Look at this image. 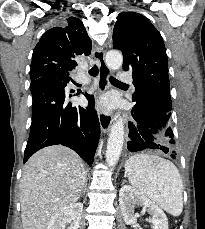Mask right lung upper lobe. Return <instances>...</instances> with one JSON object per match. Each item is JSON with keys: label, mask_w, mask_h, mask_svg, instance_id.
Here are the masks:
<instances>
[{"label": "right lung upper lobe", "mask_w": 205, "mask_h": 229, "mask_svg": "<svg viewBox=\"0 0 205 229\" xmlns=\"http://www.w3.org/2000/svg\"><path fill=\"white\" fill-rule=\"evenodd\" d=\"M91 39L80 19L69 17L63 27L46 31L33 51L30 79L47 75L69 76L77 65V58L90 55Z\"/></svg>", "instance_id": "obj_1"}]
</instances>
